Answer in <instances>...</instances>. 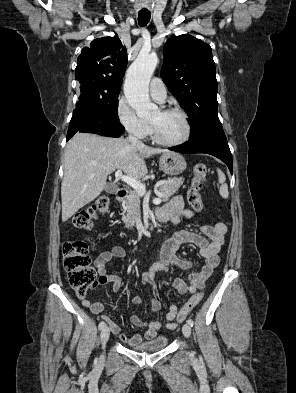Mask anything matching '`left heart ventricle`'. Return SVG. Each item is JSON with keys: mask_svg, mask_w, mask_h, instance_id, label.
Returning <instances> with one entry per match:
<instances>
[{"mask_svg": "<svg viewBox=\"0 0 296 393\" xmlns=\"http://www.w3.org/2000/svg\"><path fill=\"white\" fill-rule=\"evenodd\" d=\"M150 121L155 125L159 137L165 141L179 140L185 133L184 121L177 113H162L158 110Z\"/></svg>", "mask_w": 296, "mask_h": 393, "instance_id": "obj_1", "label": "left heart ventricle"}]
</instances>
